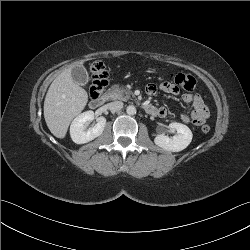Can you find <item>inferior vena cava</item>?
I'll return each instance as SVG.
<instances>
[{"label":"inferior vena cava","mask_w":250,"mask_h":250,"mask_svg":"<svg viewBox=\"0 0 250 250\" xmlns=\"http://www.w3.org/2000/svg\"><path fill=\"white\" fill-rule=\"evenodd\" d=\"M107 107L111 112H118L123 108V102L114 101V102L108 103Z\"/></svg>","instance_id":"1"}]
</instances>
